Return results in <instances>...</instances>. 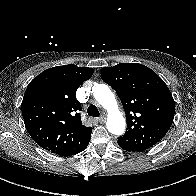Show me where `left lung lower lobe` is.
<instances>
[{
  "label": "left lung lower lobe",
  "instance_id": "obj_1",
  "mask_svg": "<svg viewBox=\"0 0 196 196\" xmlns=\"http://www.w3.org/2000/svg\"><path fill=\"white\" fill-rule=\"evenodd\" d=\"M117 142L123 150L129 151V152H142L138 150L137 148L133 147L132 145H130L129 143H127L126 141L118 140Z\"/></svg>",
  "mask_w": 196,
  "mask_h": 196
}]
</instances>
